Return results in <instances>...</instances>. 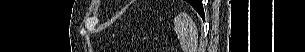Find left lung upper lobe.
<instances>
[{
    "instance_id": "1",
    "label": "left lung upper lobe",
    "mask_w": 305,
    "mask_h": 52,
    "mask_svg": "<svg viewBox=\"0 0 305 52\" xmlns=\"http://www.w3.org/2000/svg\"><path fill=\"white\" fill-rule=\"evenodd\" d=\"M188 2H189L194 8H196V7L198 6L199 0H188Z\"/></svg>"
}]
</instances>
